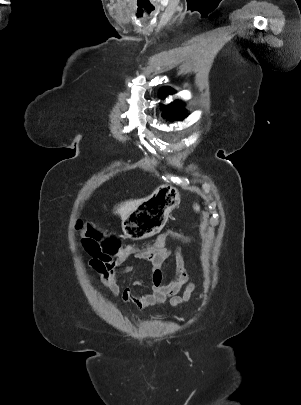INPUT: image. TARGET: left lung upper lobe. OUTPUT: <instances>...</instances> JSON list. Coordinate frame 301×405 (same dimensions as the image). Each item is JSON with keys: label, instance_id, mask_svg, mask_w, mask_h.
I'll use <instances>...</instances> for the list:
<instances>
[{"label": "left lung upper lobe", "instance_id": "1", "mask_svg": "<svg viewBox=\"0 0 301 405\" xmlns=\"http://www.w3.org/2000/svg\"><path fill=\"white\" fill-rule=\"evenodd\" d=\"M173 92H175L172 88L170 87H163L160 90V97L163 99L165 98L167 95L172 94ZM163 108V113L162 115L164 117H166L169 120H183L186 116L187 113L184 110L183 106L181 105L180 101H175L174 103L168 105V106H164L162 105Z\"/></svg>", "mask_w": 301, "mask_h": 405}]
</instances>
